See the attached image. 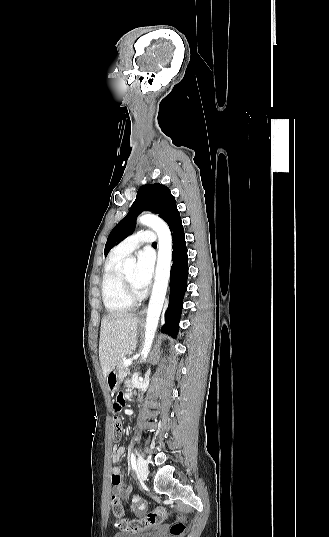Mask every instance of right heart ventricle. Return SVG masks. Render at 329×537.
Here are the masks:
<instances>
[{
	"mask_svg": "<svg viewBox=\"0 0 329 537\" xmlns=\"http://www.w3.org/2000/svg\"><path fill=\"white\" fill-rule=\"evenodd\" d=\"M123 257L111 254L106 262L101 281V294L106 310L111 314L124 313L132 309L133 302L122 289L119 264Z\"/></svg>",
	"mask_w": 329,
	"mask_h": 537,
	"instance_id": "obj_1",
	"label": "right heart ventricle"
}]
</instances>
